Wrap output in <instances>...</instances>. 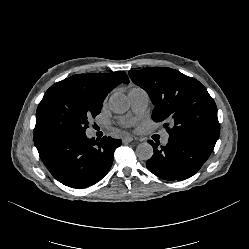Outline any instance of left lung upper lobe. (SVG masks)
<instances>
[{"label": "left lung upper lobe", "instance_id": "left-lung-upper-lobe-1", "mask_svg": "<svg viewBox=\"0 0 249 249\" xmlns=\"http://www.w3.org/2000/svg\"><path fill=\"white\" fill-rule=\"evenodd\" d=\"M128 73L132 81L149 94L155 106L152 119L163 122L168 133L187 131L218 139L217 107L199 81L168 67Z\"/></svg>", "mask_w": 249, "mask_h": 249}]
</instances>
